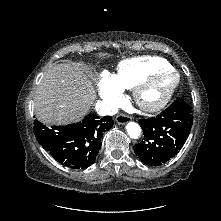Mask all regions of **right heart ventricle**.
I'll return each instance as SVG.
<instances>
[{
	"label": "right heart ventricle",
	"mask_w": 221,
	"mask_h": 221,
	"mask_svg": "<svg viewBox=\"0 0 221 221\" xmlns=\"http://www.w3.org/2000/svg\"><path fill=\"white\" fill-rule=\"evenodd\" d=\"M166 69L172 66L163 58L137 57L121 61L113 77L122 89H135L152 73Z\"/></svg>",
	"instance_id": "e07e8e85"
}]
</instances>
